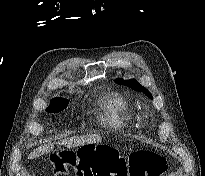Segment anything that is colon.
<instances>
[{"instance_id":"colon-1","label":"colon","mask_w":205,"mask_h":176,"mask_svg":"<svg viewBox=\"0 0 205 176\" xmlns=\"http://www.w3.org/2000/svg\"><path fill=\"white\" fill-rule=\"evenodd\" d=\"M51 169L56 175L66 174L75 167L76 176H161L166 163L152 150H138L121 161L109 149L92 148L79 153L61 151L50 155Z\"/></svg>"}]
</instances>
